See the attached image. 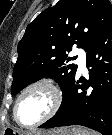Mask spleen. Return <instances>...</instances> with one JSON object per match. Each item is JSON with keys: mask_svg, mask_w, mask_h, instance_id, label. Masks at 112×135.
<instances>
[{"mask_svg": "<svg viewBox=\"0 0 112 135\" xmlns=\"http://www.w3.org/2000/svg\"><path fill=\"white\" fill-rule=\"evenodd\" d=\"M81 135H99V134L98 133H95V132L90 133L88 131H82Z\"/></svg>", "mask_w": 112, "mask_h": 135, "instance_id": "3e777b00", "label": "spleen"}]
</instances>
